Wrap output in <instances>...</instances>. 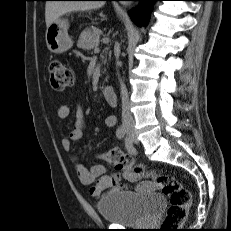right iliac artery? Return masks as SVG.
Here are the masks:
<instances>
[{
	"label": "right iliac artery",
	"mask_w": 231,
	"mask_h": 231,
	"mask_svg": "<svg viewBox=\"0 0 231 231\" xmlns=\"http://www.w3.org/2000/svg\"><path fill=\"white\" fill-rule=\"evenodd\" d=\"M116 136L118 139H123L125 136V128L123 126L118 127L116 131Z\"/></svg>",
	"instance_id": "1"
}]
</instances>
